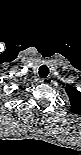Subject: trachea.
I'll return each mask as SVG.
<instances>
[{
	"label": "trachea",
	"instance_id": "trachea-1",
	"mask_svg": "<svg viewBox=\"0 0 81 155\" xmlns=\"http://www.w3.org/2000/svg\"><path fill=\"white\" fill-rule=\"evenodd\" d=\"M49 74V69L47 66L43 65L39 68L40 77L46 78Z\"/></svg>",
	"mask_w": 81,
	"mask_h": 155
}]
</instances>
